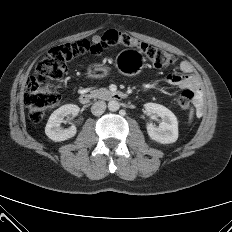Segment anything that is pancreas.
<instances>
[{
	"mask_svg": "<svg viewBox=\"0 0 232 232\" xmlns=\"http://www.w3.org/2000/svg\"><path fill=\"white\" fill-rule=\"evenodd\" d=\"M109 94H110V91L107 90L106 88H100V89H96V90L91 91V96L94 98H99V99H102L106 95H109Z\"/></svg>",
	"mask_w": 232,
	"mask_h": 232,
	"instance_id": "cf45deb5",
	"label": "pancreas"
}]
</instances>
